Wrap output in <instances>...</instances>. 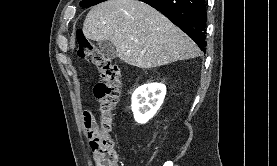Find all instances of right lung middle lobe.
Instances as JSON below:
<instances>
[{
    "label": "right lung middle lobe",
    "mask_w": 277,
    "mask_h": 166,
    "mask_svg": "<svg viewBox=\"0 0 277 166\" xmlns=\"http://www.w3.org/2000/svg\"><path fill=\"white\" fill-rule=\"evenodd\" d=\"M103 1H106V0H82L80 2V6L83 7V8H88L90 6H94L98 3H101Z\"/></svg>",
    "instance_id": "dd1d6c3e"
}]
</instances>
